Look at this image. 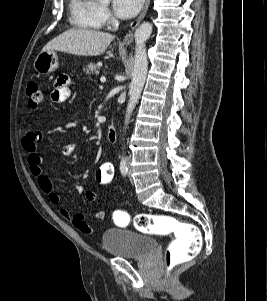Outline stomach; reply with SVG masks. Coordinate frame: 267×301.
I'll return each instance as SVG.
<instances>
[{
  "instance_id": "1",
  "label": "stomach",
  "mask_w": 267,
  "mask_h": 301,
  "mask_svg": "<svg viewBox=\"0 0 267 301\" xmlns=\"http://www.w3.org/2000/svg\"><path fill=\"white\" fill-rule=\"evenodd\" d=\"M58 68V57L54 50L42 51L34 61V69L42 75H47Z\"/></svg>"
}]
</instances>
